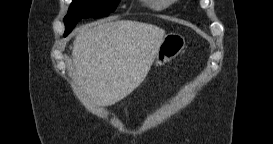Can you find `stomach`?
Returning a JSON list of instances; mask_svg holds the SVG:
<instances>
[{
  "label": "stomach",
  "mask_w": 273,
  "mask_h": 144,
  "mask_svg": "<svg viewBox=\"0 0 273 144\" xmlns=\"http://www.w3.org/2000/svg\"><path fill=\"white\" fill-rule=\"evenodd\" d=\"M186 42L182 35L169 33L164 36L156 54V67L175 59L185 48Z\"/></svg>",
  "instance_id": "stomach-1"
}]
</instances>
